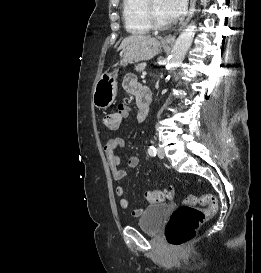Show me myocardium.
Returning a JSON list of instances; mask_svg holds the SVG:
<instances>
[{"label":"myocardium","mask_w":261,"mask_h":273,"mask_svg":"<svg viewBox=\"0 0 261 273\" xmlns=\"http://www.w3.org/2000/svg\"><path fill=\"white\" fill-rule=\"evenodd\" d=\"M144 9L146 20L152 29L165 30L170 27V23H163L157 18L153 8V0H145Z\"/></svg>","instance_id":"myocardium-1"}]
</instances>
